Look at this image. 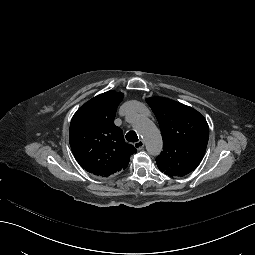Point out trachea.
<instances>
[{
  "instance_id": "trachea-1",
  "label": "trachea",
  "mask_w": 255,
  "mask_h": 255,
  "mask_svg": "<svg viewBox=\"0 0 255 255\" xmlns=\"http://www.w3.org/2000/svg\"><path fill=\"white\" fill-rule=\"evenodd\" d=\"M126 140L129 141V142H137L138 141V136L135 132L129 131L126 134Z\"/></svg>"
}]
</instances>
